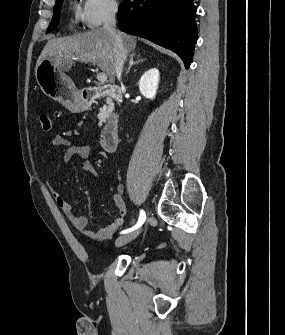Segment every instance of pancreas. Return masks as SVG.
I'll return each instance as SVG.
<instances>
[{"instance_id":"pancreas-1","label":"pancreas","mask_w":285,"mask_h":335,"mask_svg":"<svg viewBox=\"0 0 285 335\" xmlns=\"http://www.w3.org/2000/svg\"><path fill=\"white\" fill-rule=\"evenodd\" d=\"M106 110H107V106L105 105L99 106V114L101 115H98L97 117L98 122L103 123L105 122L106 119H110L111 114L110 112H106Z\"/></svg>"}]
</instances>
